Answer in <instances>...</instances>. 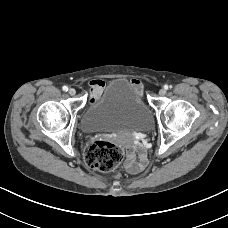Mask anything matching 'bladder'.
Returning a JSON list of instances; mask_svg holds the SVG:
<instances>
[{
    "instance_id": "1",
    "label": "bladder",
    "mask_w": 228,
    "mask_h": 228,
    "mask_svg": "<svg viewBox=\"0 0 228 228\" xmlns=\"http://www.w3.org/2000/svg\"><path fill=\"white\" fill-rule=\"evenodd\" d=\"M154 126L140 89L130 80L117 78L89 102L80 118L84 133L148 132Z\"/></svg>"
}]
</instances>
